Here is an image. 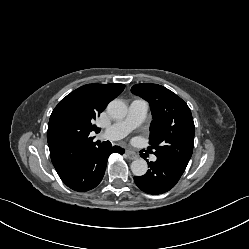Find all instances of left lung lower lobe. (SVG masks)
<instances>
[{"instance_id":"1","label":"left lung lower lobe","mask_w":249,"mask_h":249,"mask_svg":"<svg viewBox=\"0 0 249 249\" xmlns=\"http://www.w3.org/2000/svg\"><path fill=\"white\" fill-rule=\"evenodd\" d=\"M150 169L141 177H134L136 185L149 194H162L172 189L186 169L185 164L157 156L155 162H148Z\"/></svg>"}]
</instances>
